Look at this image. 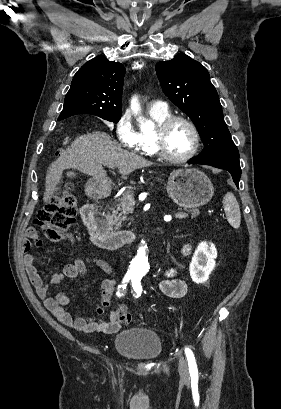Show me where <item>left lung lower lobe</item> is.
Returning <instances> with one entry per match:
<instances>
[{
    "mask_svg": "<svg viewBox=\"0 0 281 409\" xmlns=\"http://www.w3.org/2000/svg\"><path fill=\"white\" fill-rule=\"evenodd\" d=\"M192 164L211 165L220 169L227 170L231 173L233 181L239 188V180L241 176L240 162L238 158L221 157V158H195L191 160Z\"/></svg>",
    "mask_w": 281,
    "mask_h": 409,
    "instance_id": "obj_1",
    "label": "left lung lower lobe"
}]
</instances>
